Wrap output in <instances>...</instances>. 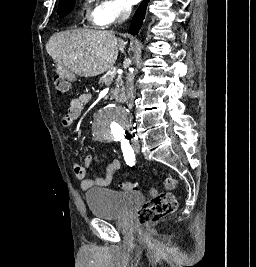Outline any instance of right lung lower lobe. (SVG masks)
<instances>
[{
  "label": "right lung lower lobe",
  "mask_w": 256,
  "mask_h": 267,
  "mask_svg": "<svg viewBox=\"0 0 256 267\" xmlns=\"http://www.w3.org/2000/svg\"><path fill=\"white\" fill-rule=\"evenodd\" d=\"M148 1L149 0H144L140 4V6L138 7L137 11L135 12V14L133 16L131 27H130V33L132 35H136L139 32V29L142 25V22H143V19L145 16Z\"/></svg>",
  "instance_id": "obj_1"
}]
</instances>
